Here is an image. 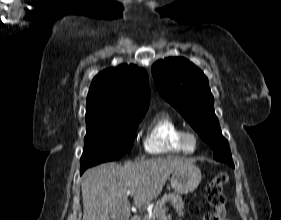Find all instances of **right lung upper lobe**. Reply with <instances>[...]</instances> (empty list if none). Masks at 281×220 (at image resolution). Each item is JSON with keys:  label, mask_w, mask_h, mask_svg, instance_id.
<instances>
[{"label": "right lung upper lobe", "mask_w": 281, "mask_h": 220, "mask_svg": "<svg viewBox=\"0 0 281 220\" xmlns=\"http://www.w3.org/2000/svg\"><path fill=\"white\" fill-rule=\"evenodd\" d=\"M150 101L148 74L135 65L100 72L87 96L86 120L145 115Z\"/></svg>", "instance_id": "1"}]
</instances>
